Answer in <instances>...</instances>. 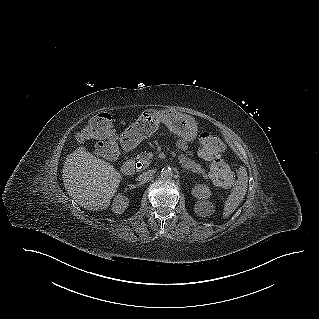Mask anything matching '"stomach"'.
Wrapping results in <instances>:
<instances>
[{"label":"stomach","instance_id":"0dacf381","mask_svg":"<svg viewBox=\"0 0 319 319\" xmlns=\"http://www.w3.org/2000/svg\"><path fill=\"white\" fill-rule=\"evenodd\" d=\"M174 134L186 141L193 142L197 136V123L186 114L175 110H142L132 124L126 129L125 134L131 136L136 142L159 130L163 125Z\"/></svg>","mask_w":319,"mask_h":319}]
</instances>
